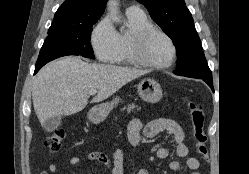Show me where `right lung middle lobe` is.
<instances>
[{
    "mask_svg": "<svg viewBox=\"0 0 249 174\" xmlns=\"http://www.w3.org/2000/svg\"><path fill=\"white\" fill-rule=\"evenodd\" d=\"M96 22L97 20L72 28L49 30L36 67H42L49 61L67 55H81L94 59L90 39L92 26Z\"/></svg>",
    "mask_w": 249,
    "mask_h": 174,
    "instance_id": "1",
    "label": "right lung middle lobe"
}]
</instances>
